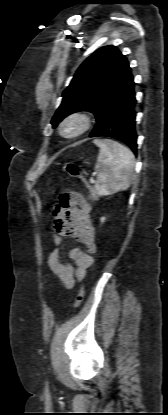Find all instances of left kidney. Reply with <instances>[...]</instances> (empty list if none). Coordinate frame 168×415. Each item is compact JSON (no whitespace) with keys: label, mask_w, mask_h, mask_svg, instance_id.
I'll return each instance as SVG.
<instances>
[{"label":"left kidney","mask_w":168,"mask_h":415,"mask_svg":"<svg viewBox=\"0 0 168 415\" xmlns=\"http://www.w3.org/2000/svg\"><path fill=\"white\" fill-rule=\"evenodd\" d=\"M105 221V218L103 217V218H101V222H104Z\"/></svg>","instance_id":"left-kidney-1"}]
</instances>
